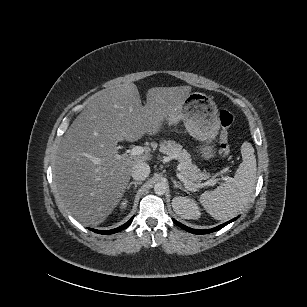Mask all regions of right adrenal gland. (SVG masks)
Returning a JSON list of instances; mask_svg holds the SVG:
<instances>
[{"label": "right adrenal gland", "instance_id": "2a0ac1e0", "mask_svg": "<svg viewBox=\"0 0 307 307\" xmlns=\"http://www.w3.org/2000/svg\"><path fill=\"white\" fill-rule=\"evenodd\" d=\"M141 183H142L141 181H139V182L131 181L130 183L127 184V189H129L132 184L137 186V185H140Z\"/></svg>", "mask_w": 307, "mask_h": 307}]
</instances>
